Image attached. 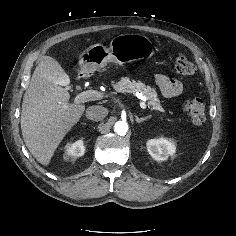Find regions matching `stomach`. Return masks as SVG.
Returning <instances> with one entry per match:
<instances>
[{"mask_svg": "<svg viewBox=\"0 0 236 236\" xmlns=\"http://www.w3.org/2000/svg\"><path fill=\"white\" fill-rule=\"evenodd\" d=\"M154 53V46L145 35L121 34L111 40L109 47L95 44L83 51L79 59V69L82 74H90L110 62L123 65L150 58Z\"/></svg>", "mask_w": 236, "mask_h": 236, "instance_id": "obj_1", "label": "stomach"}]
</instances>
